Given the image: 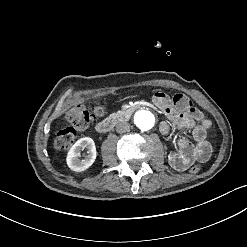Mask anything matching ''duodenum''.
I'll return each instance as SVG.
<instances>
[{
    "instance_id": "1",
    "label": "duodenum",
    "mask_w": 247,
    "mask_h": 247,
    "mask_svg": "<svg viewBox=\"0 0 247 247\" xmlns=\"http://www.w3.org/2000/svg\"><path fill=\"white\" fill-rule=\"evenodd\" d=\"M142 108V105L137 104L134 106H131L129 108L123 109L116 113L114 116L104 119L100 122H98L96 129L99 133H107L109 132L114 125L120 120V119H126L129 118V116L137 109Z\"/></svg>"
}]
</instances>
